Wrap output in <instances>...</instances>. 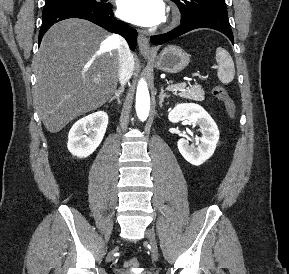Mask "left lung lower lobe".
Wrapping results in <instances>:
<instances>
[{
	"label": "left lung lower lobe",
	"mask_w": 289,
	"mask_h": 274,
	"mask_svg": "<svg viewBox=\"0 0 289 274\" xmlns=\"http://www.w3.org/2000/svg\"><path fill=\"white\" fill-rule=\"evenodd\" d=\"M198 28H211L220 31L234 44V37L229 24L228 15L224 14H203L197 16L189 21L183 22L180 26L166 34L152 36L150 40L152 44L160 45Z\"/></svg>",
	"instance_id": "0a47b994"
}]
</instances>
